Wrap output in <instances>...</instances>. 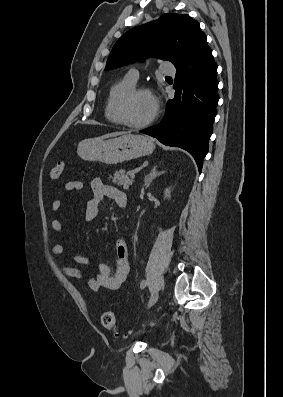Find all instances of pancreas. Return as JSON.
Masks as SVG:
<instances>
[{
    "label": "pancreas",
    "instance_id": "cf45deb5",
    "mask_svg": "<svg viewBox=\"0 0 283 397\" xmlns=\"http://www.w3.org/2000/svg\"><path fill=\"white\" fill-rule=\"evenodd\" d=\"M112 182L118 186H123L124 189H128L132 185L133 179H130L125 170L121 169L115 172Z\"/></svg>",
    "mask_w": 283,
    "mask_h": 397
}]
</instances>
